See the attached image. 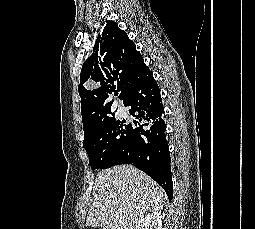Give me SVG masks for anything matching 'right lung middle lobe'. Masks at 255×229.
<instances>
[{
  "mask_svg": "<svg viewBox=\"0 0 255 229\" xmlns=\"http://www.w3.org/2000/svg\"><path fill=\"white\" fill-rule=\"evenodd\" d=\"M92 169L109 168L121 164L133 155V139L130 125L117 120L114 115L103 122L83 142Z\"/></svg>",
  "mask_w": 255,
  "mask_h": 229,
  "instance_id": "1",
  "label": "right lung middle lobe"
}]
</instances>
